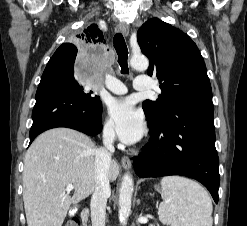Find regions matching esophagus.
I'll return each instance as SVG.
<instances>
[{"label":"esophagus","instance_id":"1","mask_svg":"<svg viewBox=\"0 0 247 226\" xmlns=\"http://www.w3.org/2000/svg\"><path fill=\"white\" fill-rule=\"evenodd\" d=\"M116 32L122 33L124 36H128L129 34V27L125 23H119L116 28ZM121 164L125 169L131 168V160L127 156H123L121 159Z\"/></svg>","mask_w":247,"mask_h":226}]
</instances>
